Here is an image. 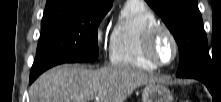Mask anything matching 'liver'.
Listing matches in <instances>:
<instances>
[{"label": "liver", "instance_id": "1", "mask_svg": "<svg viewBox=\"0 0 221 102\" xmlns=\"http://www.w3.org/2000/svg\"><path fill=\"white\" fill-rule=\"evenodd\" d=\"M161 82L128 66L96 70L61 65L43 73L29 89L30 102H125L141 85Z\"/></svg>", "mask_w": 221, "mask_h": 102}]
</instances>
